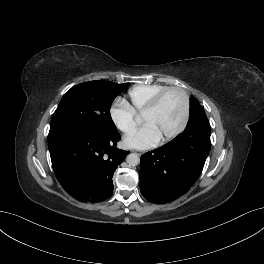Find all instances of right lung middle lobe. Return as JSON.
Here are the masks:
<instances>
[{"label":"right lung middle lobe","mask_w":264,"mask_h":264,"mask_svg":"<svg viewBox=\"0 0 264 264\" xmlns=\"http://www.w3.org/2000/svg\"><path fill=\"white\" fill-rule=\"evenodd\" d=\"M128 86L129 83L90 81L72 87L52 116L48 142L66 134L116 133L110 107L115 97Z\"/></svg>","instance_id":"obj_1"}]
</instances>
